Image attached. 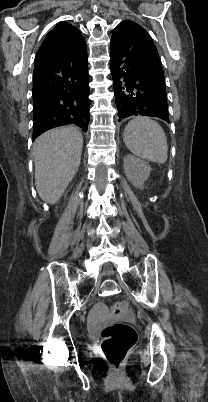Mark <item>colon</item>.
Returning a JSON list of instances; mask_svg holds the SVG:
<instances>
[{"label": "colon", "instance_id": "5ec220e1", "mask_svg": "<svg viewBox=\"0 0 208 402\" xmlns=\"http://www.w3.org/2000/svg\"><path fill=\"white\" fill-rule=\"evenodd\" d=\"M126 310V305L119 303L111 309L115 314ZM138 336L139 331L134 329L132 324H108L102 331V351L106 360L110 364L119 365L125 359L127 352ZM114 370L118 371L119 367L115 366Z\"/></svg>", "mask_w": 208, "mask_h": 402}]
</instances>
